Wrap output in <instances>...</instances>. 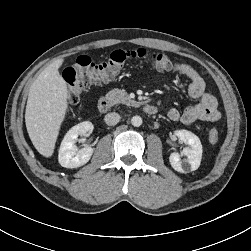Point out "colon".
Here are the masks:
<instances>
[{"instance_id": "obj_1", "label": "colon", "mask_w": 251, "mask_h": 251, "mask_svg": "<svg viewBox=\"0 0 251 251\" xmlns=\"http://www.w3.org/2000/svg\"><path fill=\"white\" fill-rule=\"evenodd\" d=\"M130 61L144 62L157 71H169L177 66L168 55L143 48L115 50L102 62H94L87 56H80L76 63L66 68L63 73L67 84L69 108L79 103L85 89L112 80ZM218 140L219 131L212 128L209 132V141L215 144Z\"/></svg>"}]
</instances>
